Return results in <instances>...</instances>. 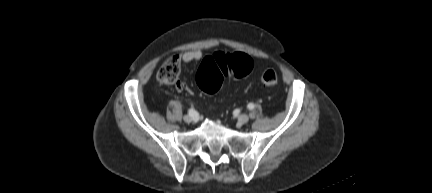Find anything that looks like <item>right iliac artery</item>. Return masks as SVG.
I'll list each match as a JSON object with an SVG mask.
<instances>
[{"label": "right iliac artery", "instance_id": "82829eb1", "mask_svg": "<svg viewBox=\"0 0 432 193\" xmlns=\"http://www.w3.org/2000/svg\"><path fill=\"white\" fill-rule=\"evenodd\" d=\"M188 114H189L191 117H194V116L197 115V112H196L194 109H189Z\"/></svg>", "mask_w": 432, "mask_h": 193}]
</instances>
